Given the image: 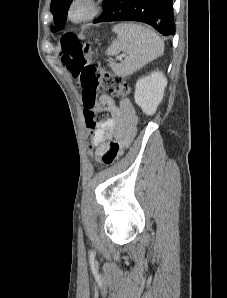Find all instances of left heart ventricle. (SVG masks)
Here are the masks:
<instances>
[{"label": "left heart ventricle", "mask_w": 227, "mask_h": 298, "mask_svg": "<svg viewBox=\"0 0 227 298\" xmlns=\"http://www.w3.org/2000/svg\"><path fill=\"white\" fill-rule=\"evenodd\" d=\"M87 11V8L85 5L81 4V5H78L75 10H74V16L75 17H80L82 15H84Z\"/></svg>", "instance_id": "obj_1"}]
</instances>
